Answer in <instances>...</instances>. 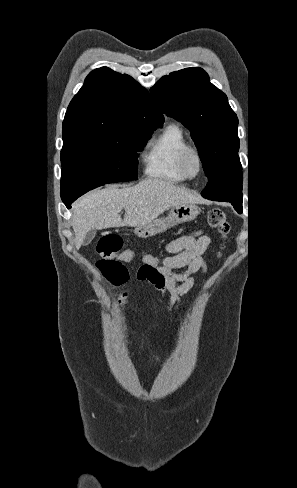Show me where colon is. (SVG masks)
<instances>
[{
    "label": "colon",
    "instance_id": "5ec220e1",
    "mask_svg": "<svg viewBox=\"0 0 297 488\" xmlns=\"http://www.w3.org/2000/svg\"><path fill=\"white\" fill-rule=\"evenodd\" d=\"M207 222L210 227L217 229L225 238L230 231V224L225 213L220 209H212L208 212ZM97 252L101 259L97 262L99 271L115 286L127 283L129 273L121 257L130 259L134 257L131 250L122 251L121 238L116 234H106L97 243ZM134 253V252H133ZM119 257V258H116ZM161 265V258L146 254L142 257V265L139 267L136 278L145 281L147 277Z\"/></svg>",
    "mask_w": 297,
    "mask_h": 488
}]
</instances>
